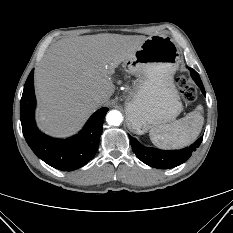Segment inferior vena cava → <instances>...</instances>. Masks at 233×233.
<instances>
[{"instance_id":"602c4592","label":"inferior vena cava","mask_w":233,"mask_h":233,"mask_svg":"<svg viewBox=\"0 0 233 233\" xmlns=\"http://www.w3.org/2000/svg\"><path fill=\"white\" fill-rule=\"evenodd\" d=\"M102 98H103V95H96V97H95L96 100H100Z\"/></svg>"}]
</instances>
